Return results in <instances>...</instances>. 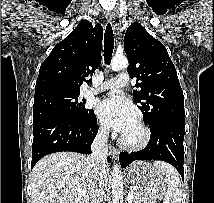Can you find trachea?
<instances>
[{"label":"trachea","instance_id":"1","mask_svg":"<svg viewBox=\"0 0 214 203\" xmlns=\"http://www.w3.org/2000/svg\"><path fill=\"white\" fill-rule=\"evenodd\" d=\"M114 49V34L111 24L108 23L104 35V61L109 64Z\"/></svg>","mask_w":214,"mask_h":203}]
</instances>
